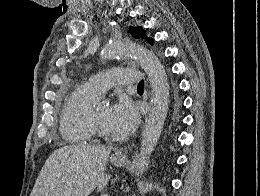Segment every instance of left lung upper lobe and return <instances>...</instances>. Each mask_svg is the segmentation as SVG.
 I'll list each match as a JSON object with an SVG mask.
<instances>
[{
    "label": "left lung upper lobe",
    "instance_id": "1",
    "mask_svg": "<svg viewBox=\"0 0 260 196\" xmlns=\"http://www.w3.org/2000/svg\"><path fill=\"white\" fill-rule=\"evenodd\" d=\"M129 33L134 38H144L151 45L153 44V39L148 38L145 35V31L143 30L142 27H130ZM171 91L172 92L170 94L171 97H170V107H169L170 113L168 115V122H167L166 135H165L166 143H171V141L173 140L176 126L178 125V122L180 120L179 111H180L181 101H180V97L178 96L177 87L175 84L171 85Z\"/></svg>",
    "mask_w": 260,
    "mask_h": 196
}]
</instances>
